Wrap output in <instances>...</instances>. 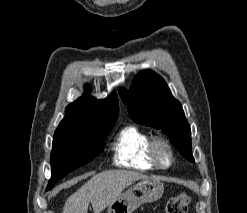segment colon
<instances>
[{
  "label": "colon",
  "instance_id": "5ec220e1",
  "mask_svg": "<svg viewBox=\"0 0 247 213\" xmlns=\"http://www.w3.org/2000/svg\"><path fill=\"white\" fill-rule=\"evenodd\" d=\"M188 204V196L184 193L179 194L167 201L164 213H187Z\"/></svg>",
  "mask_w": 247,
  "mask_h": 213
}]
</instances>
